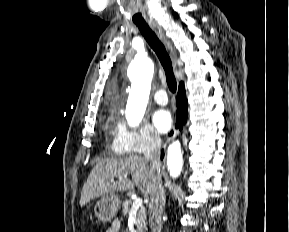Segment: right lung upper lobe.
Segmentation results:
<instances>
[{
    "mask_svg": "<svg viewBox=\"0 0 289 232\" xmlns=\"http://www.w3.org/2000/svg\"><path fill=\"white\" fill-rule=\"evenodd\" d=\"M182 85H184V83H183V82H180V83H179V86H182Z\"/></svg>",
    "mask_w": 289,
    "mask_h": 232,
    "instance_id": "cb5924a9",
    "label": "right lung upper lobe"
}]
</instances>
